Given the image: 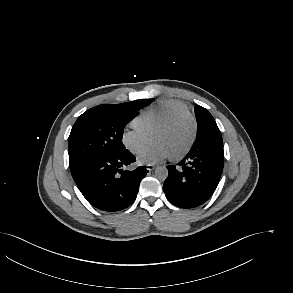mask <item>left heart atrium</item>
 <instances>
[{
    "label": "left heart atrium",
    "instance_id": "1",
    "mask_svg": "<svg viewBox=\"0 0 293 293\" xmlns=\"http://www.w3.org/2000/svg\"><path fill=\"white\" fill-rule=\"evenodd\" d=\"M170 150L162 143H154L146 148L139 156L138 163L153 165L171 157Z\"/></svg>",
    "mask_w": 293,
    "mask_h": 293
}]
</instances>
